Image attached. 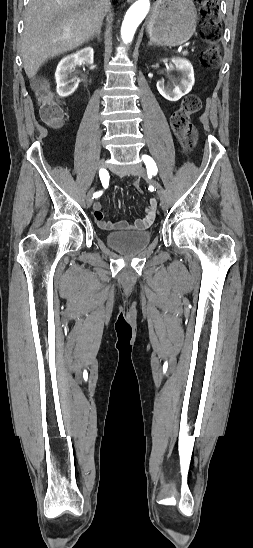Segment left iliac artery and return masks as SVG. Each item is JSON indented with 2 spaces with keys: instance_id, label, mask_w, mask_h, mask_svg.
I'll return each mask as SVG.
<instances>
[{
  "instance_id": "left-iliac-artery-1",
  "label": "left iliac artery",
  "mask_w": 253,
  "mask_h": 548,
  "mask_svg": "<svg viewBox=\"0 0 253 548\" xmlns=\"http://www.w3.org/2000/svg\"><path fill=\"white\" fill-rule=\"evenodd\" d=\"M142 159H143V161L146 165L147 173L151 174V175H156L157 174V166H156V163L154 162V160L148 155H143Z\"/></svg>"
}]
</instances>
